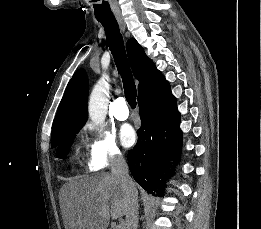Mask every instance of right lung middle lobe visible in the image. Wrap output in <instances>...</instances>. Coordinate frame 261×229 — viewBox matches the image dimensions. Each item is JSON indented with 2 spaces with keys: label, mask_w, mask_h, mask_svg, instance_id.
Masks as SVG:
<instances>
[{
  "label": "right lung middle lobe",
  "mask_w": 261,
  "mask_h": 229,
  "mask_svg": "<svg viewBox=\"0 0 261 229\" xmlns=\"http://www.w3.org/2000/svg\"><path fill=\"white\" fill-rule=\"evenodd\" d=\"M83 125H71L62 126L57 129V134L62 138L63 142L58 146L56 157L60 159H65L70 145L75 137L73 135L77 134Z\"/></svg>",
  "instance_id": "right-lung-middle-lobe-1"
}]
</instances>
